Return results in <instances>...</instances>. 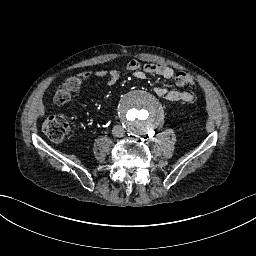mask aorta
Masks as SVG:
<instances>
[{
  "label": "aorta",
  "instance_id": "obj_1",
  "mask_svg": "<svg viewBox=\"0 0 256 256\" xmlns=\"http://www.w3.org/2000/svg\"><path fill=\"white\" fill-rule=\"evenodd\" d=\"M119 117L128 130L135 133H145L158 124L161 108L152 95L145 92H135L122 101Z\"/></svg>",
  "mask_w": 256,
  "mask_h": 256
}]
</instances>
